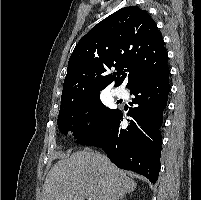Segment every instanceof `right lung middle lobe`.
Returning a JSON list of instances; mask_svg holds the SVG:
<instances>
[{"label":"right lung middle lobe","mask_w":201,"mask_h":200,"mask_svg":"<svg viewBox=\"0 0 201 200\" xmlns=\"http://www.w3.org/2000/svg\"><path fill=\"white\" fill-rule=\"evenodd\" d=\"M115 111L103 105L99 93L63 101L57 121L58 129L63 134L71 131L79 139L103 127ZM87 119L92 120V127L86 125Z\"/></svg>","instance_id":"dd1d6c3e"}]
</instances>
